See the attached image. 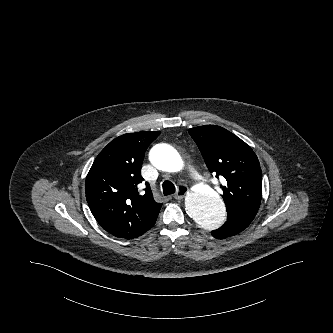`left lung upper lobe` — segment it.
Wrapping results in <instances>:
<instances>
[{"label": "left lung upper lobe", "instance_id": "5c2ea615", "mask_svg": "<svg viewBox=\"0 0 333 333\" xmlns=\"http://www.w3.org/2000/svg\"><path fill=\"white\" fill-rule=\"evenodd\" d=\"M210 172L223 176L227 219L251 223L261 203L262 171L254 151L228 130L214 125L189 129Z\"/></svg>", "mask_w": 333, "mask_h": 333}]
</instances>
